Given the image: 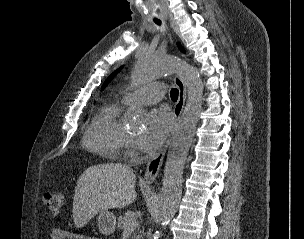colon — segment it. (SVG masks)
<instances>
[{"mask_svg": "<svg viewBox=\"0 0 304 239\" xmlns=\"http://www.w3.org/2000/svg\"><path fill=\"white\" fill-rule=\"evenodd\" d=\"M43 202L53 216H58L65 204V194L61 192L45 193Z\"/></svg>", "mask_w": 304, "mask_h": 239, "instance_id": "colon-1", "label": "colon"}]
</instances>
